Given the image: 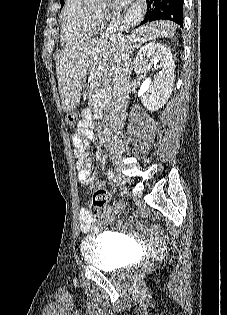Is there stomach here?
I'll list each match as a JSON object with an SVG mask.
<instances>
[{
	"label": "stomach",
	"mask_w": 227,
	"mask_h": 315,
	"mask_svg": "<svg viewBox=\"0 0 227 315\" xmlns=\"http://www.w3.org/2000/svg\"><path fill=\"white\" fill-rule=\"evenodd\" d=\"M97 76H98V73H97L96 68H88L86 75H84L83 80H81V82H80L81 91H91V89H92L91 82H94V80H95V78H97ZM70 117L72 120L68 119V122L70 124H73L75 115L70 114Z\"/></svg>",
	"instance_id": "obj_1"
}]
</instances>
